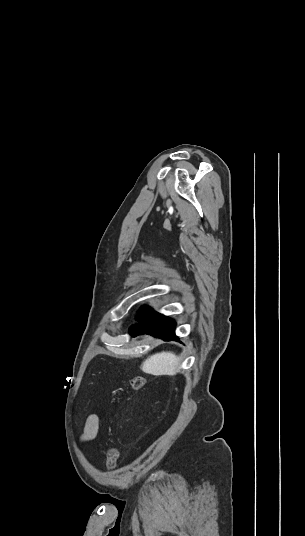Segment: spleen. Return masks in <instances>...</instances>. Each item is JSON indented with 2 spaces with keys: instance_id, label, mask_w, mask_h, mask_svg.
<instances>
[{
  "instance_id": "spleen-1",
  "label": "spleen",
  "mask_w": 305,
  "mask_h": 536,
  "mask_svg": "<svg viewBox=\"0 0 305 536\" xmlns=\"http://www.w3.org/2000/svg\"><path fill=\"white\" fill-rule=\"evenodd\" d=\"M180 358L173 352H160L149 356L141 366L142 372L152 376H175L178 372Z\"/></svg>"
}]
</instances>
